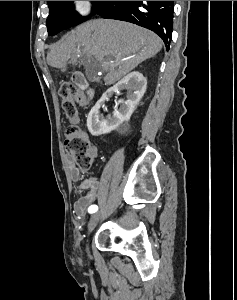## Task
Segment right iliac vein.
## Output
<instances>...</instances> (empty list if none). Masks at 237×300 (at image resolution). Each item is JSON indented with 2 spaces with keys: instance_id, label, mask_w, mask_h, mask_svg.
I'll use <instances>...</instances> for the list:
<instances>
[{
  "instance_id": "1",
  "label": "right iliac vein",
  "mask_w": 237,
  "mask_h": 300,
  "mask_svg": "<svg viewBox=\"0 0 237 300\" xmlns=\"http://www.w3.org/2000/svg\"><path fill=\"white\" fill-rule=\"evenodd\" d=\"M100 219H101V213H96L91 216L88 225V235L94 230V228L96 227ZM86 247L88 248V242L86 243Z\"/></svg>"
}]
</instances>
